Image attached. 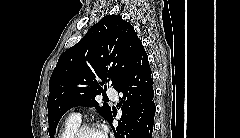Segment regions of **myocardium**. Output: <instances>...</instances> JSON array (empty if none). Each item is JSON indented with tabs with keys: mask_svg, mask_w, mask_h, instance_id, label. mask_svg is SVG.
Returning <instances> with one entry per match:
<instances>
[{
	"mask_svg": "<svg viewBox=\"0 0 240 138\" xmlns=\"http://www.w3.org/2000/svg\"><path fill=\"white\" fill-rule=\"evenodd\" d=\"M88 130H97L99 131V129L97 128V126H95L94 124L91 123H83L80 124L69 136V138H80L81 135L88 131Z\"/></svg>",
	"mask_w": 240,
	"mask_h": 138,
	"instance_id": "f54148a6",
	"label": "myocardium"
}]
</instances>
